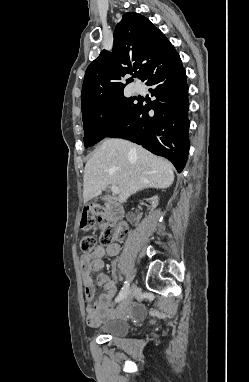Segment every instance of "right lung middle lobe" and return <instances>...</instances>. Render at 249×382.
Instances as JSON below:
<instances>
[{"instance_id":"right-lung-middle-lobe-1","label":"right lung middle lobe","mask_w":249,"mask_h":382,"mask_svg":"<svg viewBox=\"0 0 249 382\" xmlns=\"http://www.w3.org/2000/svg\"><path fill=\"white\" fill-rule=\"evenodd\" d=\"M140 98H126L122 94L111 99L95 100L82 108L85 148L108 137L126 124L136 112ZM115 114L117 117L112 119Z\"/></svg>"}]
</instances>
